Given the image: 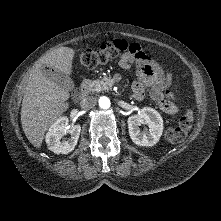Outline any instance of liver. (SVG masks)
Returning <instances> with one entry per match:
<instances>
[{"label":"liver","instance_id":"obj_1","mask_svg":"<svg viewBox=\"0 0 221 221\" xmlns=\"http://www.w3.org/2000/svg\"><path fill=\"white\" fill-rule=\"evenodd\" d=\"M75 50L60 47L46 53L30 72L21 108V124L29 142L40 148L48 128L69 108V91L47 79L42 68L47 66L72 74Z\"/></svg>","mask_w":221,"mask_h":221}]
</instances>
